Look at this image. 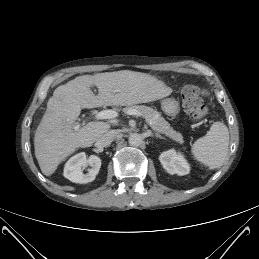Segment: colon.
Listing matches in <instances>:
<instances>
[{
    "mask_svg": "<svg viewBox=\"0 0 259 259\" xmlns=\"http://www.w3.org/2000/svg\"><path fill=\"white\" fill-rule=\"evenodd\" d=\"M184 110L196 121H201L208 113L204 102V91L196 85H187L182 90Z\"/></svg>",
    "mask_w": 259,
    "mask_h": 259,
    "instance_id": "1",
    "label": "colon"
}]
</instances>
